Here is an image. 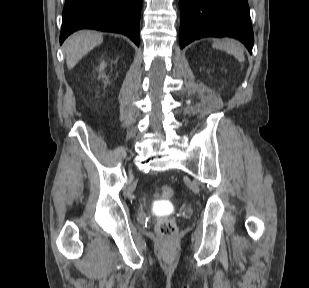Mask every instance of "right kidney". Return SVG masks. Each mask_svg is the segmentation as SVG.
Here are the masks:
<instances>
[{"instance_id":"obj_1","label":"right kidney","mask_w":309,"mask_h":288,"mask_svg":"<svg viewBox=\"0 0 309 288\" xmlns=\"http://www.w3.org/2000/svg\"><path fill=\"white\" fill-rule=\"evenodd\" d=\"M105 67H106V64H105L104 62H102V63L100 64V66H99V70H100V71H103ZM101 77H105V76L102 75Z\"/></svg>"}]
</instances>
